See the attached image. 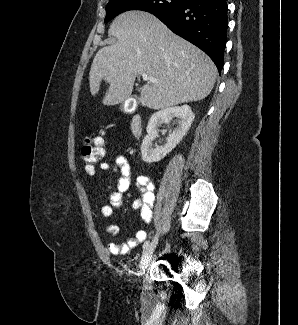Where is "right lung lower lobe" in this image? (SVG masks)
<instances>
[{"label": "right lung lower lobe", "mask_w": 298, "mask_h": 325, "mask_svg": "<svg viewBox=\"0 0 298 325\" xmlns=\"http://www.w3.org/2000/svg\"><path fill=\"white\" fill-rule=\"evenodd\" d=\"M227 10L226 0H187L181 7L155 16L171 31L203 50L220 73L227 40Z\"/></svg>", "instance_id": "1"}]
</instances>
